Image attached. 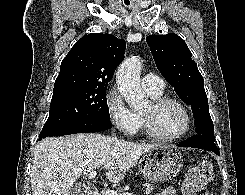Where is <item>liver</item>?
<instances>
[{
	"label": "liver",
	"instance_id": "liver-1",
	"mask_svg": "<svg viewBox=\"0 0 245 195\" xmlns=\"http://www.w3.org/2000/svg\"><path fill=\"white\" fill-rule=\"evenodd\" d=\"M158 146L93 133L45 138L34 152L32 195H71L80 176L103 165L106 178L120 182L143 154Z\"/></svg>",
	"mask_w": 245,
	"mask_h": 195
}]
</instances>
